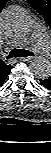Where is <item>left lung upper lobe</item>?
<instances>
[{"label":"left lung upper lobe","instance_id":"1","mask_svg":"<svg viewBox=\"0 0 51 153\" xmlns=\"http://www.w3.org/2000/svg\"><path fill=\"white\" fill-rule=\"evenodd\" d=\"M28 2L44 17L51 28V0H28Z\"/></svg>","mask_w":51,"mask_h":153}]
</instances>
